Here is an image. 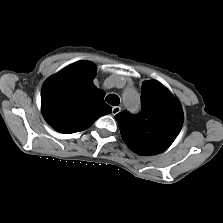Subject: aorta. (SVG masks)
<instances>
[{
  "mask_svg": "<svg viewBox=\"0 0 223 223\" xmlns=\"http://www.w3.org/2000/svg\"><path fill=\"white\" fill-rule=\"evenodd\" d=\"M123 98L129 109L137 110L140 108V96L133 88H126L123 93Z\"/></svg>",
  "mask_w": 223,
  "mask_h": 223,
  "instance_id": "obj_1",
  "label": "aorta"
}]
</instances>
